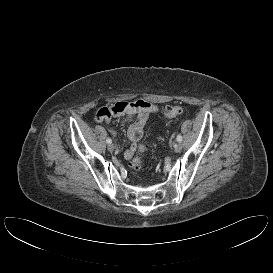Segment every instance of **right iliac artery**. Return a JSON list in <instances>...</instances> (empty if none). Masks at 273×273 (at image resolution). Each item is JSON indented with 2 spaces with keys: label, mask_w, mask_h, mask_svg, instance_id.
Here are the masks:
<instances>
[{
  "label": "right iliac artery",
  "mask_w": 273,
  "mask_h": 273,
  "mask_svg": "<svg viewBox=\"0 0 273 273\" xmlns=\"http://www.w3.org/2000/svg\"><path fill=\"white\" fill-rule=\"evenodd\" d=\"M106 142H107L108 144H111V143H112V140H111L110 138H107Z\"/></svg>",
  "instance_id": "right-iliac-artery-1"
}]
</instances>
